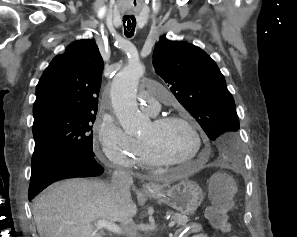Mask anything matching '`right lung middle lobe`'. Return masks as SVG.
I'll return each mask as SVG.
<instances>
[{
  "mask_svg": "<svg viewBox=\"0 0 297 237\" xmlns=\"http://www.w3.org/2000/svg\"><path fill=\"white\" fill-rule=\"evenodd\" d=\"M95 114H54L33 123L32 162L46 153L64 149L95 156L92 150Z\"/></svg>",
  "mask_w": 297,
  "mask_h": 237,
  "instance_id": "dd1d6c3e",
  "label": "right lung middle lobe"
}]
</instances>
